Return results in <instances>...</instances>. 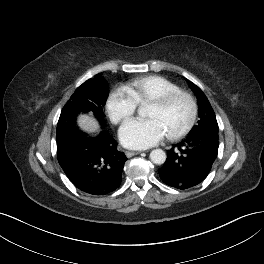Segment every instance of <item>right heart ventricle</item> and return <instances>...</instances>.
Segmentation results:
<instances>
[{"label": "right heart ventricle", "instance_id": "1", "mask_svg": "<svg viewBox=\"0 0 264 264\" xmlns=\"http://www.w3.org/2000/svg\"><path fill=\"white\" fill-rule=\"evenodd\" d=\"M126 89L137 104H143L178 90L179 86L164 76L147 75L132 80Z\"/></svg>", "mask_w": 264, "mask_h": 264}]
</instances>
